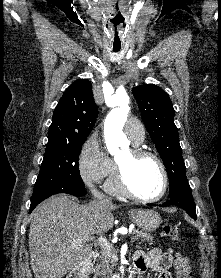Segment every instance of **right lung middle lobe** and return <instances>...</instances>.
<instances>
[{
	"label": "right lung middle lobe",
	"instance_id": "dd1d6c3e",
	"mask_svg": "<svg viewBox=\"0 0 221 278\" xmlns=\"http://www.w3.org/2000/svg\"><path fill=\"white\" fill-rule=\"evenodd\" d=\"M86 138L46 145L32 198L62 183L85 186L80 176L78 159Z\"/></svg>",
	"mask_w": 221,
	"mask_h": 278
}]
</instances>
